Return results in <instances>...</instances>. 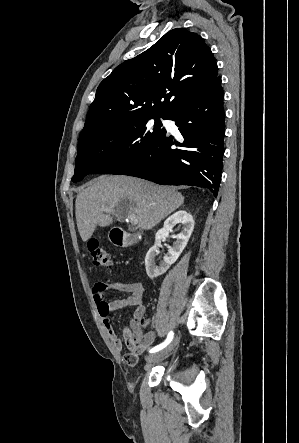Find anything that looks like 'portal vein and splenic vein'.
I'll list each match as a JSON object with an SVG mask.
<instances>
[{
	"mask_svg": "<svg viewBox=\"0 0 299 443\" xmlns=\"http://www.w3.org/2000/svg\"><path fill=\"white\" fill-rule=\"evenodd\" d=\"M103 211H104V212H112V211H111L110 209H108V208H104ZM126 218L130 221V223H131L132 225H136V224H138V218H137L136 215H134V214H129Z\"/></svg>",
	"mask_w": 299,
	"mask_h": 443,
	"instance_id": "obj_1",
	"label": "portal vein and splenic vein"
}]
</instances>
